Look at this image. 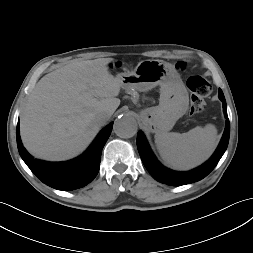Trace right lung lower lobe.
<instances>
[{"label":"right lung lower lobe","mask_w":253,"mask_h":253,"mask_svg":"<svg viewBox=\"0 0 253 253\" xmlns=\"http://www.w3.org/2000/svg\"><path fill=\"white\" fill-rule=\"evenodd\" d=\"M113 122L105 127L91 146L78 158L66 162H46L34 159L23 147L19 122L16 138L20 156L30 170L46 185L63 191L74 190L90 183L98 174L102 149L110 136Z\"/></svg>","instance_id":"98d812e1"}]
</instances>
